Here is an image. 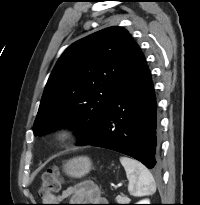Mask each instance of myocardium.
<instances>
[{"label": "myocardium", "mask_w": 200, "mask_h": 205, "mask_svg": "<svg viewBox=\"0 0 200 205\" xmlns=\"http://www.w3.org/2000/svg\"><path fill=\"white\" fill-rule=\"evenodd\" d=\"M76 127L71 122H63L55 129V138L60 142H67L74 138Z\"/></svg>", "instance_id": "f54148a6"}]
</instances>
